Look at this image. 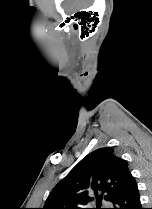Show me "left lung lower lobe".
I'll return each mask as SVG.
<instances>
[{
  "instance_id": "0a47b994",
  "label": "left lung lower lobe",
  "mask_w": 152,
  "mask_h": 209,
  "mask_svg": "<svg viewBox=\"0 0 152 209\" xmlns=\"http://www.w3.org/2000/svg\"><path fill=\"white\" fill-rule=\"evenodd\" d=\"M112 203L113 209H142L137 183L132 175Z\"/></svg>"
}]
</instances>
